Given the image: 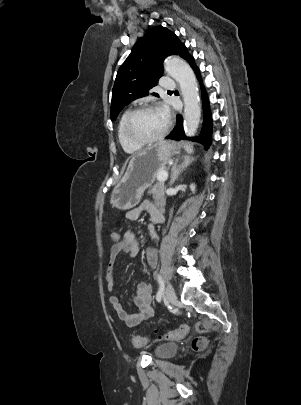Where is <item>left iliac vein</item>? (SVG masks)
Returning <instances> with one entry per match:
<instances>
[{"label": "left iliac vein", "mask_w": 301, "mask_h": 405, "mask_svg": "<svg viewBox=\"0 0 301 405\" xmlns=\"http://www.w3.org/2000/svg\"><path fill=\"white\" fill-rule=\"evenodd\" d=\"M165 295H166V299L168 302H170L172 304H174L176 302L177 297H176L174 288L169 283L166 286Z\"/></svg>", "instance_id": "left-iliac-vein-1"}]
</instances>
